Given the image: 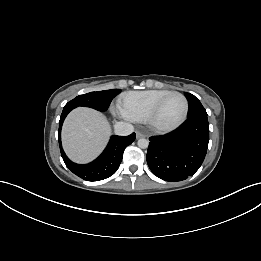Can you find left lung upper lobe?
<instances>
[{
    "mask_svg": "<svg viewBox=\"0 0 261 261\" xmlns=\"http://www.w3.org/2000/svg\"><path fill=\"white\" fill-rule=\"evenodd\" d=\"M186 98L189 102V113L188 118H193L196 116H207V112L202 106L201 102L192 94L185 93Z\"/></svg>",
    "mask_w": 261,
    "mask_h": 261,
    "instance_id": "5c2ea615",
    "label": "left lung upper lobe"
}]
</instances>
